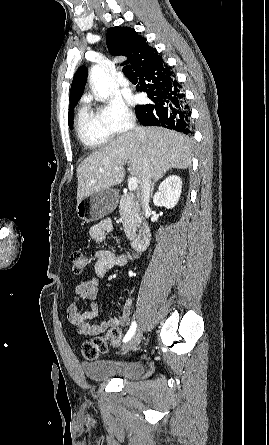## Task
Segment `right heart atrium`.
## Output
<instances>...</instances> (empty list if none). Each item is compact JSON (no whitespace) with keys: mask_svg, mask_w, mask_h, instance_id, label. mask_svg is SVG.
I'll use <instances>...</instances> for the list:
<instances>
[{"mask_svg":"<svg viewBox=\"0 0 269 445\" xmlns=\"http://www.w3.org/2000/svg\"><path fill=\"white\" fill-rule=\"evenodd\" d=\"M97 115L111 135L126 132L134 122L132 111L119 98H109L97 110Z\"/></svg>","mask_w":269,"mask_h":445,"instance_id":"1","label":"right heart atrium"}]
</instances>
